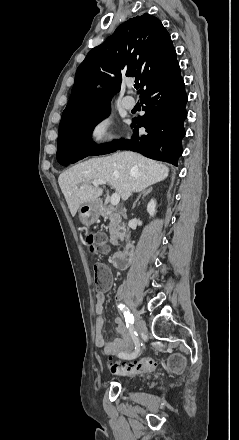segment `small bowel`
<instances>
[{"instance_id": "c3829d8e", "label": "small bowel", "mask_w": 239, "mask_h": 440, "mask_svg": "<svg viewBox=\"0 0 239 440\" xmlns=\"http://www.w3.org/2000/svg\"><path fill=\"white\" fill-rule=\"evenodd\" d=\"M106 267V266H105ZM109 281L107 285L104 287V290L108 287L110 282L111 273L110 270L106 267ZM123 290L119 289L118 295H122ZM104 303H105V295L104 291H100L95 296V311L97 313V318L95 321L96 328V345L102 350V352L106 355H118L126 353L129 351L133 342L131 340V334L129 330L126 328L125 323L123 322L121 317L115 318L116 332L118 337L114 340H106L103 330H104Z\"/></svg>"}]
</instances>
